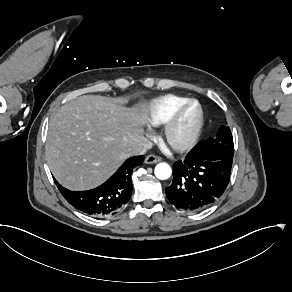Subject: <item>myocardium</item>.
<instances>
[{"instance_id":"myocardium-1","label":"myocardium","mask_w":292,"mask_h":292,"mask_svg":"<svg viewBox=\"0 0 292 292\" xmlns=\"http://www.w3.org/2000/svg\"><path fill=\"white\" fill-rule=\"evenodd\" d=\"M195 106L196 111L193 122L188 132L182 138L174 137V130L184 113ZM203 124V110L200 103L193 99H188L185 103L177 107L163 124L162 136L166 143L176 150H187L195 143Z\"/></svg>"}]
</instances>
